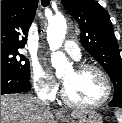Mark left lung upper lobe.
Returning a JSON list of instances; mask_svg holds the SVG:
<instances>
[{
  "label": "left lung upper lobe",
  "mask_w": 122,
  "mask_h": 123,
  "mask_svg": "<svg viewBox=\"0 0 122 123\" xmlns=\"http://www.w3.org/2000/svg\"><path fill=\"white\" fill-rule=\"evenodd\" d=\"M81 30L87 52L106 70L114 85V97L122 96V59L108 12L93 0H62Z\"/></svg>",
  "instance_id": "obj_1"
}]
</instances>
